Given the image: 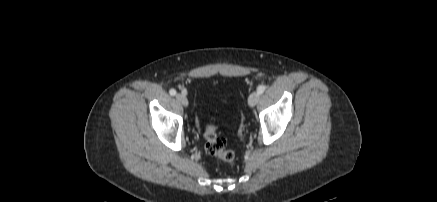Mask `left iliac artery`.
<instances>
[{
    "instance_id": "44dca946",
    "label": "left iliac artery",
    "mask_w": 437,
    "mask_h": 202,
    "mask_svg": "<svg viewBox=\"0 0 437 202\" xmlns=\"http://www.w3.org/2000/svg\"><path fill=\"white\" fill-rule=\"evenodd\" d=\"M265 89H266V86H265V85H260V86L257 88V92H258L259 94H262V93L265 91Z\"/></svg>"
}]
</instances>
